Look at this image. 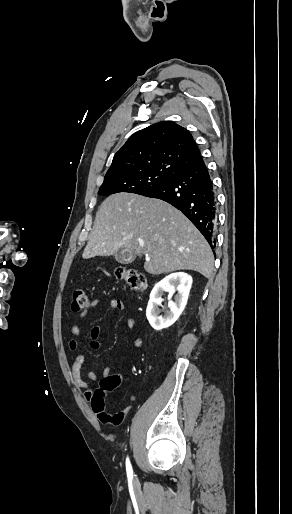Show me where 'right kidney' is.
<instances>
[{
	"mask_svg": "<svg viewBox=\"0 0 292 514\" xmlns=\"http://www.w3.org/2000/svg\"><path fill=\"white\" fill-rule=\"evenodd\" d=\"M192 286V278L189 274L184 272H176V274H170L163 278L161 282H158L154 286L150 300L148 302L146 316L154 330H163V328H169L176 320H178L180 314H182L188 300L190 288ZM178 292L175 296V302H172L171 298L175 292ZM163 292H169L168 296V312H165L164 316H160L161 302H163L161 296Z\"/></svg>",
	"mask_w": 292,
	"mask_h": 514,
	"instance_id": "1",
	"label": "right kidney"
}]
</instances>
